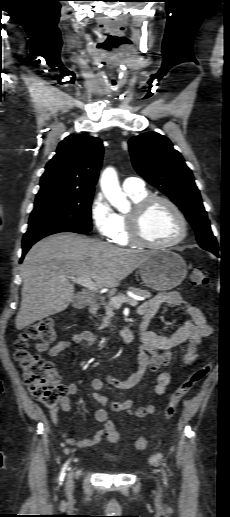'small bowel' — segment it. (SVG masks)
<instances>
[{"mask_svg": "<svg viewBox=\"0 0 230 517\" xmlns=\"http://www.w3.org/2000/svg\"><path fill=\"white\" fill-rule=\"evenodd\" d=\"M163 305L178 306L183 305L186 308L187 319L185 322L170 336H164L151 331H144L140 338L141 347L138 353V369L127 379L121 380L111 374L104 373L101 377L91 380V387L94 390L92 398L102 408L94 412V418L99 423H104L105 427L95 432L87 439H76L66 432H61L65 442L68 445L79 448L91 447L99 443L108 433V426L112 425L108 421V411L119 413L127 412L128 414L142 418L152 414L155 411V406L151 403L145 404L133 409V401L127 399L124 401L109 402L108 398L99 394L97 391L101 390L105 384L114 388L127 390L136 386L147 371L159 372L154 392L157 395H163L169 386L172 375L166 370L172 360V349L187 344L186 353L183 356L182 364L184 369L191 367L198 357L199 345L204 338L210 337L213 334V328L207 323L204 314L195 305L188 302L178 292H164L155 295L149 301L142 303L139 307L141 315H154L158 309ZM97 336L88 330L73 334L68 340L59 341L54 346L49 347L45 342H40L36 345V352H48L52 358H59L60 354L67 348L73 345H79L83 348H90L96 345ZM68 394H75L78 392V385L70 383L67 385ZM107 407V409L105 408ZM59 410L69 413L71 410V402L68 397L61 400L59 408H54L50 412L51 421L54 426L59 427L60 420Z\"/></svg>", "mask_w": 230, "mask_h": 517, "instance_id": "c3829d8e", "label": "small bowel"}]
</instances>
